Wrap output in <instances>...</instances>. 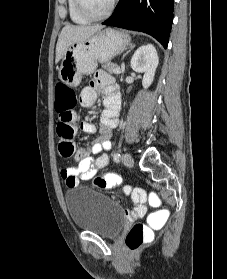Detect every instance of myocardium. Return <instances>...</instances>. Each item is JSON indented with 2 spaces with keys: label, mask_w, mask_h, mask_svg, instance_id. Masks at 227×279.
Returning <instances> with one entry per match:
<instances>
[{
  "label": "myocardium",
  "mask_w": 227,
  "mask_h": 279,
  "mask_svg": "<svg viewBox=\"0 0 227 279\" xmlns=\"http://www.w3.org/2000/svg\"><path fill=\"white\" fill-rule=\"evenodd\" d=\"M117 0H111L110 5L108 7V9L100 14V15H93L91 14L86 7L83 4L82 0H75V5H76V9L79 12V14L84 17L85 19L89 20V21H99V20H103L107 17H109L116 5Z\"/></svg>",
  "instance_id": "myocardium-1"
}]
</instances>
